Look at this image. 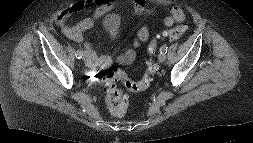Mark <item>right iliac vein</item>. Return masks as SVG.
I'll use <instances>...</instances> for the list:
<instances>
[{
	"label": "right iliac vein",
	"instance_id": "right-iliac-vein-1",
	"mask_svg": "<svg viewBox=\"0 0 253 143\" xmlns=\"http://www.w3.org/2000/svg\"><path fill=\"white\" fill-rule=\"evenodd\" d=\"M92 55L91 53L88 51V50H85L84 51V54H83V59L88 62L90 59H91Z\"/></svg>",
	"mask_w": 253,
	"mask_h": 143
}]
</instances>
